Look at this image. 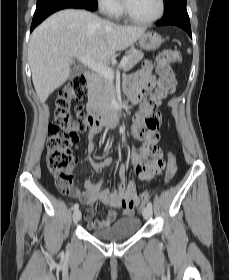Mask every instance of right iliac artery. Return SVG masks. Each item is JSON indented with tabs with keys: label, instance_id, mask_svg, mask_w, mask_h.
Returning <instances> with one entry per match:
<instances>
[{
	"label": "right iliac artery",
	"instance_id": "1",
	"mask_svg": "<svg viewBox=\"0 0 229 280\" xmlns=\"http://www.w3.org/2000/svg\"><path fill=\"white\" fill-rule=\"evenodd\" d=\"M79 208V204L78 203H75L72 207L73 210H77Z\"/></svg>",
	"mask_w": 229,
	"mask_h": 280
}]
</instances>
